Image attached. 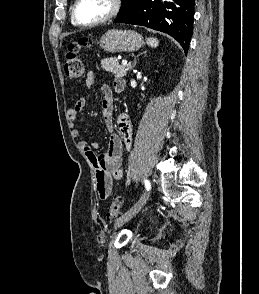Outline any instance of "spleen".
<instances>
[{"instance_id": "obj_1", "label": "spleen", "mask_w": 259, "mask_h": 294, "mask_svg": "<svg viewBox=\"0 0 259 294\" xmlns=\"http://www.w3.org/2000/svg\"><path fill=\"white\" fill-rule=\"evenodd\" d=\"M147 44L151 47H157L159 44V41L156 38H147Z\"/></svg>"}]
</instances>
